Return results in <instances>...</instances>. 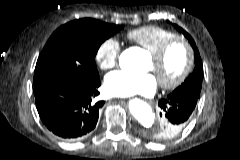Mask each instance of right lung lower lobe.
I'll use <instances>...</instances> for the list:
<instances>
[{
    "label": "right lung lower lobe",
    "mask_w": 240,
    "mask_h": 160,
    "mask_svg": "<svg viewBox=\"0 0 240 160\" xmlns=\"http://www.w3.org/2000/svg\"><path fill=\"white\" fill-rule=\"evenodd\" d=\"M100 79L89 85L51 79L34 87L36 107L43 124L55 135L77 140L96 126L104 101L94 102Z\"/></svg>",
    "instance_id": "right-lung-lower-lobe-1"
}]
</instances>
